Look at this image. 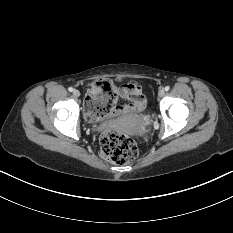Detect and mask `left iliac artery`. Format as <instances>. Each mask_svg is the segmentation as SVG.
Returning <instances> with one entry per match:
<instances>
[{
	"instance_id": "left-iliac-artery-1",
	"label": "left iliac artery",
	"mask_w": 233,
	"mask_h": 233,
	"mask_svg": "<svg viewBox=\"0 0 233 233\" xmlns=\"http://www.w3.org/2000/svg\"><path fill=\"white\" fill-rule=\"evenodd\" d=\"M164 89H165V91H169L170 87L166 86Z\"/></svg>"
}]
</instances>
